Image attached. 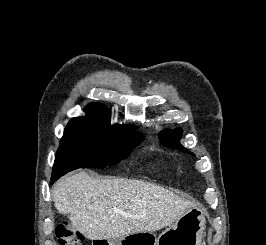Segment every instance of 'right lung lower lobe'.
Returning <instances> with one entry per match:
<instances>
[{"label":"right lung lower lobe","instance_id":"right-lung-lower-lobe-1","mask_svg":"<svg viewBox=\"0 0 266 245\" xmlns=\"http://www.w3.org/2000/svg\"><path fill=\"white\" fill-rule=\"evenodd\" d=\"M59 177H60V176H58V175H53V174H52V178H51L52 181H51V184L54 183Z\"/></svg>","mask_w":266,"mask_h":245}]
</instances>
